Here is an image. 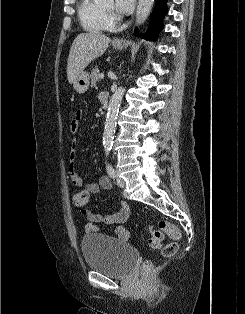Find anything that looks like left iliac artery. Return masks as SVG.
<instances>
[{
  "instance_id": "1",
  "label": "left iliac artery",
  "mask_w": 245,
  "mask_h": 314,
  "mask_svg": "<svg viewBox=\"0 0 245 314\" xmlns=\"http://www.w3.org/2000/svg\"><path fill=\"white\" fill-rule=\"evenodd\" d=\"M106 170L110 177L115 178V170L110 163H106Z\"/></svg>"
}]
</instances>
